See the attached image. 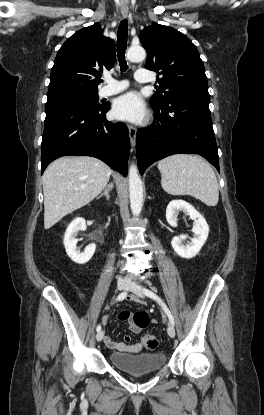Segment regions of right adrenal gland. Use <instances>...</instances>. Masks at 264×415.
Returning <instances> with one entry per match:
<instances>
[{
  "label": "right adrenal gland",
  "mask_w": 264,
  "mask_h": 415,
  "mask_svg": "<svg viewBox=\"0 0 264 415\" xmlns=\"http://www.w3.org/2000/svg\"><path fill=\"white\" fill-rule=\"evenodd\" d=\"M113 183H109V184H107L106 185V187H105V190H104V192L102 193V194H100L99 196H98V198H101L102 196H105L106 197V199L107 200H109L110 199V195H109V192L113 189Z\"/></svg>",
  "instance_id": "right-adrenal-gland-1"
}]
</instances>
